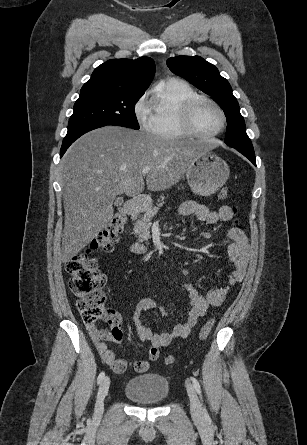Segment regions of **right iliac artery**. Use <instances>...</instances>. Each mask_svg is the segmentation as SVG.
<instances>
[{
  "mask_svg": "<svg viewBox=\"0 0 307 445\" xmlns=\"http://www.w3.org/2000/svg\"><path fill=\"white\" fill-rule=\"evenodd\" d=\"M105 378V373L101 372L97 378V383L100 384Z\"/></svg>",
  "mask_w": 307,
  "mask_h": 445,
  "instance_id": "1",
  "label": "right iliac artery"
}]
</instances>
